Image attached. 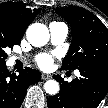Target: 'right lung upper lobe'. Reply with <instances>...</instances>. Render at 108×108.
Returning <instances> with one entry per match:
<instances>
[{
    "label": "right lung upper lobe",
    "mask_w": 108,
    "mask_h": 108,
    "mask_svg": "<svg viewBox=\"0 0 108 108\" xmlns=\"http://www.w3.org/2000/svg\"><path fill=\"white\" fill-rule=\"evenodd\" d=\"M40 10L26 8L24 3L5 2L0 4V19L7 23L15 35L22 38L27 26L34 20Z\"/></svg>",
    "instance_id": "cb5924a9"
}]
</instances>
